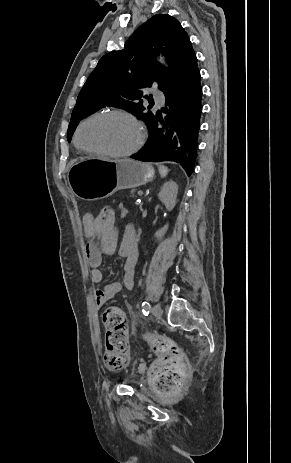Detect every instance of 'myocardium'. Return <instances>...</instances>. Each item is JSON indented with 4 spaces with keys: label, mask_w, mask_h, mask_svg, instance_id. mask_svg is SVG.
I'll list each match as a JSON object with an SVG mask.
<instances>
[{
    "label": "myocardium",
    "mask_w": 291,
    "mask_h": 463,
    "mask_svg": "<svg viewBox=\"0 0 291 463\" xmlns=\"http://www.w3.org/2000/svg\"><path fill=\"white\" fill-rule=\"evenodd\" d=\"M106 116H120V117L126 118L134 125L137 131V138H136L135 144L131 148L127 150H123V151H112V150H105V149H91V148H87L81 145L79 136H80V131L82 127L86 123H88L89 121L95 118L106 117ZM144 140H145V130H144L142 123L138 120V118L134 114L124 109H111V110H105V111L93 113L89 115L88 117H86L85 119H83L78 124L75 130V134H74V144L79 150L87 154L103 155V156L113 157V158L128 157V156L135 154L142 147Z\"/></svg>",
    "instance_id": "obj_1"
}]
</instances>
